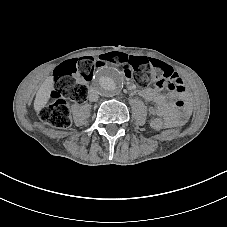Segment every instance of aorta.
Instances as JSON below:
<instances>
[{
  "label": "aorta",
  "mask_w": 227,
  "mask_h": 227,
  "mask_svg": "<svg viewBox=\"0 0 227 227\" xmlns=\"http://www.w3.org/2000/svg\"><path fill=\"white\" fill-rule=\"evenodd\" d=\"M93 78L94 89L104 97L115 96L123 87L122 73L113 66L99 68Z\"/></svg>",
  "instance_id": "aorta-1"
}]
</instances>
